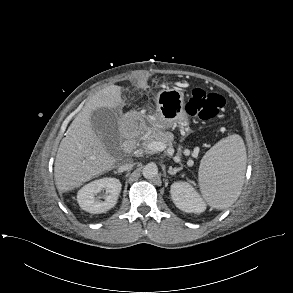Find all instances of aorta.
Wrapping results in <instances>:
<instances>
[{
  "mask_svg": "<svg viewBox=\"0 0 293 293\" xmlns=\"http://www.w3.org/2000/svg\"><path fill=\"white\" fill-rule=\"evenodd\" d=\"M142 174L146 179H153L158 174V167L155 163H148L144 166Z\"/></svg>",
  "mask_w": 293,
  "mask_h": 293,
  "instance_id": "aorta-1",
  "label": "aorta"
}]
</instances>
